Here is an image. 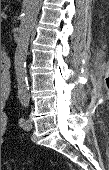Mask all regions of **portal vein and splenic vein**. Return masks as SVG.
Here are the masks:
<instances>
[{
	"label": "portal vein and splenic vein",
	"mask_w": 109,
	"mask_h": 170,
	"mask_svg": "<svg viewBox=\"0 0 109 170\" xmlns=\"http://www.w3.org/2000/svg\"><path fill=\"white\" fill-rule=\"evenodd\" d=\"M2 18H3V19H6V18H7V16H6V15H2Z\"/></svg>",
	"instance_id": "18ae733b"
}]
</instances>
